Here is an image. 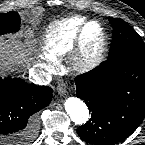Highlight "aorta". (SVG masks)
<instances>
[{
  "mask_svg": "<svg viewBox=\"0 0 145 145\" xmlns=\"http://www.w3.org/2000/svg\"><path fill=\"white\" fill-rule=\"evenodd\" d=\"M65 111L76 125L85 124L90 117L86 104L75 97H70L66 100Z\"/></svg>",
  "mask_w": 145,
  "mask_h": 145,
  "instance_id": "1",
  "label": "aorta"
}]
</instances>
